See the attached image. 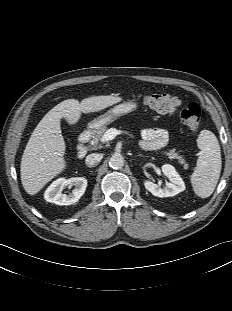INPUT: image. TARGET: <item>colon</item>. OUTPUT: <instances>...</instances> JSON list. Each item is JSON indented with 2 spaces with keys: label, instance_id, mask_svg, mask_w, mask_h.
Returning <instances> with one entry per match:
<instances>
[{
  "label": "colon",
  "instance_id": "obj_1",
  "mask_svg": "<svg viewBox=\"0 0 232 311\" xmlns=\"http://www.w3.org/2000/svg\"><path fill=\"white\" fill-rule=\"evenodd\" d=\"M143 104L160 113H173L181 105L178 98L166 93H153L139 97ZM181 119L184 124L192 131L198 130L201 110L197 103H189L181 110Z\"/></svg>",
  "mask_w": 232,
  "mask_h": 311
}]
</instances>
